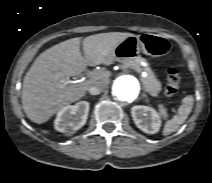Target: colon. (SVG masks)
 Masks as SVG:
<instances>
[{"label": "colon", "instance_id": "1", "mask_svg": "<svg viewBox=\"0 0 212 183\" xmlns=\"http://www.w3.org/2000/svg\"><path fill=\"white\" fill-rule=\"evenodd\" d=\"M181 83V77L178 71L175 68H170L167 71L166 76V86H165V95L167 97H172L176 94Z\"/></svg>", "mask_w": 212, "mask_h": 183}]
</instances>
